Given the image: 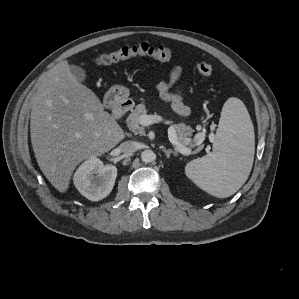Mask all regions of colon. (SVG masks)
<instances>
[{"label": "colon", "instance_id": "1", "mask_svg": "<svg viewBox=\"0 0 299 299\" xmlns=\"http://www.w3.org/2000/svg\"><path fill=\"white\" fill-rule=\"evenodd\" d=\"M174 50L169 46H153L146 42L136 45L123 46L120 49L103 54L96 59L98 66H109L135 57H150L158 61L167 62L173 57ZM197 71L203 76L214 73L213 65L208 61H200L196 65Z\"/></svg>", "mask_w": 299, "mask_h": 299}]
</instances>
